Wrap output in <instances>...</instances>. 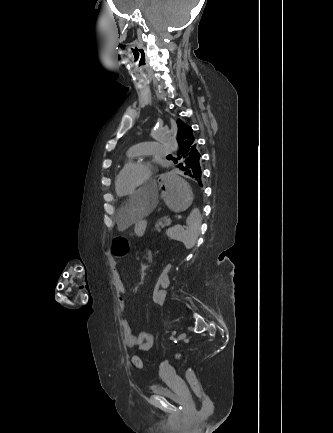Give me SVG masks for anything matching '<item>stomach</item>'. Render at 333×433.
<instances>
[{
	"label": "stomach",
	"mask_w": 333,
	"mask_h": 433,
	"mask_svg": "<svg viewBox=\"0 0 333 433\" xmlns=\"http://www.w3.org/2000/svg\"><path fill=\"white\" fill-rule=\"evenodd\" d=\"M158 181L161 183V194L167 210H171L172 215H185L193 198L192 187L190 183H186L185 176L177 174L175 169H168L166 174H159ZM144 223V220L137 221V234L140 227H145Z\"/></svg>",
	"instance_id": "0dacf381"
}]
</instances>
